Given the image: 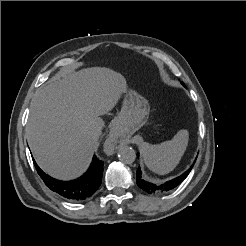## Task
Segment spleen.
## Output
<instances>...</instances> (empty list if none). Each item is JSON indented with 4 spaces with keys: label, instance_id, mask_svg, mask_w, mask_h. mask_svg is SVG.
<instances>
[{
    "label": "spleen",
    "instance_id": "3e777b00",
    "mask_svg": "<svg viewBox=\"0 0 246 246\" xmlns=\"http://www.w3.org/2000/svg\"><path fill=\"white\" fill-rule=\"evenodd\" d=\"M188 140V131L182 129L171 140L158 145L142 142L140 150L146 166L159 175L173 171L186 151Z\"/></svg>",
    "mask_w": 246,
    "mask_h": 246
}]
</instances>
